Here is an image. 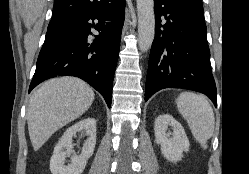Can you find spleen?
<instances>
[{"mask_svg":"<svg viewBox=\"0 0 249 174\" xmlns=\"http://www.w3.org/2000/svg\"><path fill=\"white\" fill-rule=\"evenodd\" d=\"M176 104L194 138L206 149L207 141L212 137L215 127L214 112L210 103L203 95L183 92L177 98Z\"/></svg>","mask_w":249,"mask_h":174,"instance_id":"1","label":"spleen"}]
</instances>
